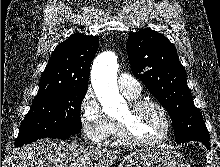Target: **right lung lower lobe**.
I'll return each mask as SVG.
<instances>
[{
    "mask_svg": "<svg viewBox=\"0 0 220 167\" xmlns=\"http://www.w3.org/2000/svg\"><path fill=\"white\" fill-rule=\"evenodd\" d=\"M70 137V135H65V136H60V137H57L58 139H67V138H69Z\"/></svg>",
    "mask_w": 220,
    "mask_h": 167,
    "instance_id": "right-lung-lower-lobe-1",
    "label": "right lung lower lobe"
}]
</instances>
